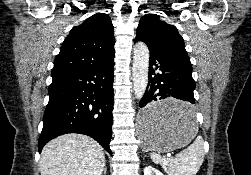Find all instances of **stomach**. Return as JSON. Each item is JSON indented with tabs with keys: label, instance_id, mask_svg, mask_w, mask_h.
<instances>
[{
	"label": "stomach",
	"instance_id": "0dacf381",
	"mask_svg": "<svg viewBox=\"0 0 251 175\" xmlns=\"http://www.w3.org/2000/svg\"><path fill=\"white\" fill-rule=\"evenodd\" d=\"M186 100H154V105L141 109L136 125L140 143L153 151H173L184 147L198 134L199 118L194 106H185Z\"/></svg>",
	"mask_w": 251,
	"mask_h": 175
}]
</instances>
